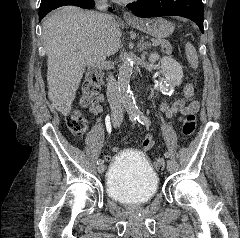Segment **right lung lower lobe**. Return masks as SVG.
<instances>
[{
	"mask_svg": "<svg viewBox=\"0 0 240 238\" xmlns=\"http://www.w3.org/2000/svg\"><path fill=\"white\" fill-rule=\"evenodd\" d=\"M67 4L79 6L87 9H93L95 6V4L93 3V0H58L57 2L52 4L45 12L39 13V20L41 21L43 17L53 9H56L58 7H61ZM109 11L112 12L113 11L112 8H110Z\"/></svg>",
	"mask_w": 240,
	"mask_h": 238,
	"instance_id": "obj_1",
	"label": "right lung lower lobe"
}]
</instances>
